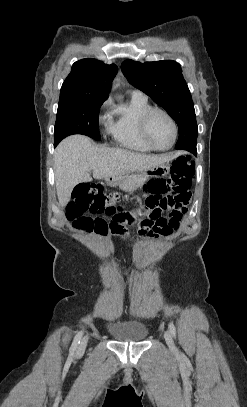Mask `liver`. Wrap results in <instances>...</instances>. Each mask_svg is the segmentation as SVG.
I'll return each instance as SVG.
<instances>
[{
  "label": "liver",
  "mask_w": 247,
  "mask_h": 407,
  "mask_svg": "<svg viewBox=\"0 0 247 407\" xmlns=\"http://www.w3.org/2000/svg\"><path fill=\"white\" fill-rule=\"evenodd\" d=\"M178 154L146 155L119 148L96 146L83 135L64 139L54 153V173L57 196L61 205H66L73 188L93 178L103 179L116 175L150 170L169 162Z\"/></svg>",
  "instance_id": "6515ba94"
}]
</instances>
